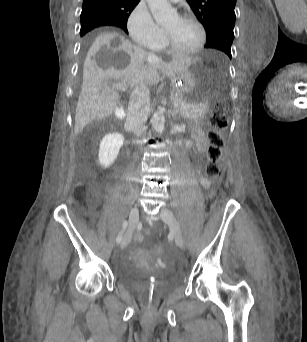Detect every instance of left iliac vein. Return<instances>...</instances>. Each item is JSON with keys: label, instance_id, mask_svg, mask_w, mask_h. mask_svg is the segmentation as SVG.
Listing matches in <instances>:
<instances>
[{"label": "left iliac vein", "instance_id": "4c4485c4", "mask_svg": "<svg viewBox=\"0 0 307 342\" xmlns=\"http://www.w3.org/2000/svg\"><path fill=\"white\" fill-rule=\"evenodd\" d=\"M159 216L169 226V228H170V230L174 236L175 243L180 248H183L184 247L183 236L181 233L179 223H178L176 217L174 216V214L170 210L163 208L160 211Z\"/></svg>", "mask_w": 307, "mask_h": 342}]
</instances>
